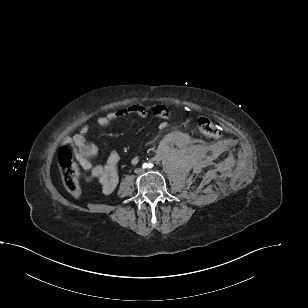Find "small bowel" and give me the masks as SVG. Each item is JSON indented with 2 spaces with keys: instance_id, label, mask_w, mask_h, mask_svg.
Instances as JSON below:
<instances>
[{
  "instance_id": "c3829d8e",
  "label": "small bowel",
  "mask_w": 308,
  "mask_h": 308,
  "mask_svg": "<svg viewBox=\"0 0 308 308\" xmlns=\"http://www.w3.org/2000/svg\"><path fill=\"white\" fill-rule=\"evenodd\" d=\"M149 114L162 119L160 128L166 127V121L170 117L168 109L163 105H142L133 104L97 118L96 122L99 126H108L114 120L126 117L129 115H137L139 117H146ZM89 132V125H83L79 132L72 137L64 139L65 145H70L74 148L75 156L80 163L83 170L86 172V179L88 181H97L103 187L106 193H112L119 181L118 166L120 162V156L117 152H111L106 163L104 165H94L92 159L97 155V146L88 140L87 134ZM188 141V135L184 132L173 131L168 133L162 140V145L167 146L174 144L177 146H183ZM133 164L137 162L134 159Z\"/></svg>"
}]
</instances>
